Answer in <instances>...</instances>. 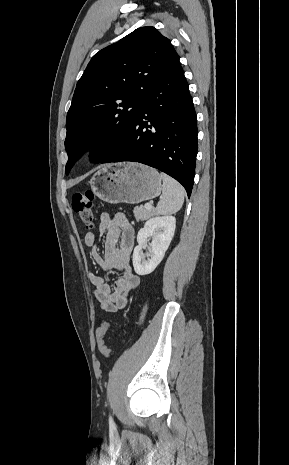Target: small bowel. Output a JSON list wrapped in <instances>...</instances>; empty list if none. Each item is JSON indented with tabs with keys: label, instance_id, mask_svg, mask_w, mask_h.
Wrapping results in <instances>:
<instances>
[{
	"label": "small bowel",
	"instance_id": "c3829d8e",
	"mask_svg": "<svg viewBox=\"0 0 289 465\" xmlns=\"http://www.w3.org/2000/svg\"><path fill=\"white\" fill-rule=\"evenodd\" d=\"M105 235L104 253L98 250V236ZM84 243L91 248L96 263L105 271L116 270L121 273L110 287L106 278L94 272L88 278L95 287V296L104 311L116 312L126 306L129 294L138 287L139 276L131 266V252L134 244V230L126 216L122 213L110 215L103 212L97 234L88 232Z\"/></svg>",
	"mask_w": 289,
	"mask_h": 465
}]
</instances>
